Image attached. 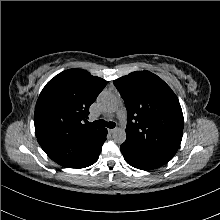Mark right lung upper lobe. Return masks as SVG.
I'll return each instance as SVG.
<instances>
[{"mask_svg":"<svg viewBox=\"0 0 220 220\" xmlns=\"http://www.w3.org/2000/svg\"><path fill=\"white\" fill-rule=\"evenodd\" d=\"M107 81L82 69H69L52 78L41 91L34 115L37 139L45 153L65 165L90 157L89 144L103 128L83 124L89 107Z\"/></svg>","mask_w":220,"mask_h":220,"instance_id":"obj_1","label":"right lung upper lobe"}]
</instances>
